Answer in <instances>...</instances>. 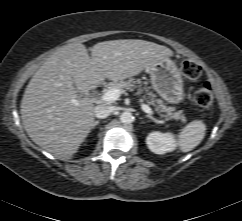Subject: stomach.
Segmentation results:
<instances>
[{
	"mask_svg": "<svg viewBox=\"0 0 242 221\" xmlns=\"http://www.w3.org/2000/svg\"><path fill=\"white\" fill-rule=\"evenodd\" d=\"M152 88L168 103L178 104L184 97L183 79L175 62L169 58L148 69Z\"/></svg>",
	"mask_w": 242,
	"mask_h": 221,
	"instance_id": "obj_1",
	"label": "stomach"
}]
</instances>
